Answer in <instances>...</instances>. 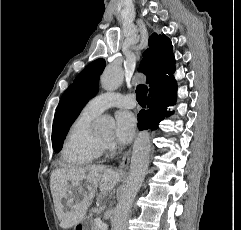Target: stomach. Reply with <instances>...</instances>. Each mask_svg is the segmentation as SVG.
<instances>
[{"label":"stomach","instance_id":"obj_1","mask_svg":"<svg viewBox=\"0 0 241 230\" xmlns=\"http://www.w3.org/2000/svg\"><path fill=\"white\" fill-rule=\"evenodd\" d=\"M94 223L92 220L84 218L79 224L75 225L74 230H93Z\"/></svg>","mask_w":241,"mask_h":230}]
</instances>
